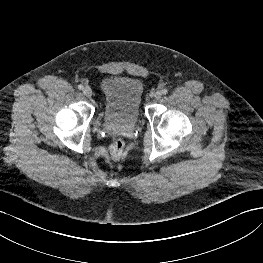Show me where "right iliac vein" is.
Wrapping results in <instances>:
<instances>
[{
  "label": "right iliac vein",
  "instance_id": "63e3f726",
  "mask_svg": "<svg viewBox=\"0 0 263 263\" xmlns=\"http://www.w3.org/2000/svg\"><path fill=\"white\" fill-rule=\"evenodd\" d=\"M83 94L86 96V97H91L93 92H92V89L89 87V86H86L83 88Z\"/></svg>",
  "mask_w": 263,
  "mask_h": 263
}]
</instances>
